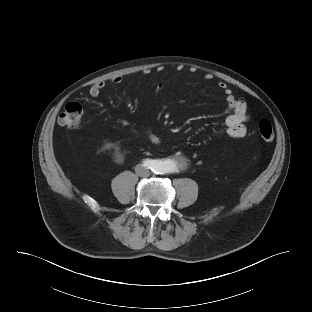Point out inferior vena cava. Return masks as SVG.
Segmentation results:
<instances>
[{
  "mask_svg": "<svg viewBox=\"0 0 312 312\" xmlns=\"http://www.w3.org/2000/svg\"><path fill=\"white\" fill-rule=\"evenodd\" d=\"M137 174L142 176V177H145V176H148L149 175V172L143 168H139L137 170Z\"/></svg>",
  "mask_w": 312,
  "mask_h": 312,
  "instance_id": "inferior-vena-cava-1",
  "label": "inferior vena cava"
}]
</instances>
